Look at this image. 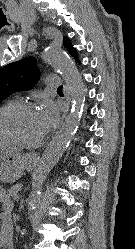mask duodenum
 Wrapping results in <instances>:
<instances>
[{
	"mask_svg": "<svg viewBox=\"0 0 135 249\" xmlns=\"http://www.w3.org/2000/svg\"><path fill=\"white\" fill-rule=\"evenodd\" d=\"M13 245L12 235L8 234L2 237L0 248L1 249H11Z\"/></svg>",
	"mask_w": 135,
	"mask_h": 249,
	"instance_id": "duodenum-1",
	"label": "duodenum"
}]
</instances>
